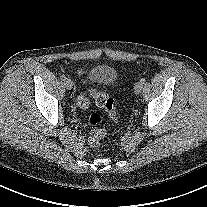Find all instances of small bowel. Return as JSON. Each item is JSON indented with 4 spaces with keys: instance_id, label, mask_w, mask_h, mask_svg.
<instances>
[{
    "instance_id": "obj_1",
    "label": "small bowel",
    "mask_w": 207,
    "mask_h": 207,
    "mask_svg": "<svg viewBox=\"0 0 207 207\" xmlns=\"http://www.w3.org/2000/svg\"><path fill=\"white\" fill-rule=\"evenodd\" d=\"M84 73H85L84 70H80V71H79V75H82V74H84Z\"/></svg>"
}]
</instances>
